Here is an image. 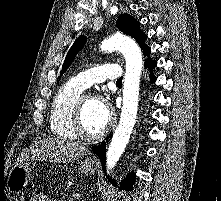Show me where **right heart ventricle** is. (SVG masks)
Here are the masks:
<instances>
[{
	"label": "right heart ventricle",
	"mask_w": 221,
	"mask_h": 201,
	"mask_svg": "<svg viewBox=\"0 0 221 201\" xmlns=\"http://www.w3.org/2000/svg\"><path fill=\"white\" fill-rule=\"evenodd\" d=\"M83 89L74 81H69L56 93L50 113V128L56 136L63 139L77 137L73 130V115Z\"/></svg>",
	"instance_id": "e07e8e85"
}]
</instances>
